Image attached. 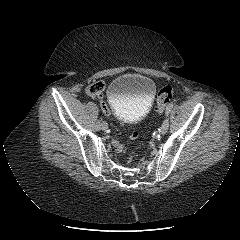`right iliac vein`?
Returning a JSON list of instances; mask_svg holds the SVG:
<instances>
[{
	"instance_id": "right-iliac-vein-1",
	"label": "right iliac vein",
	"mask_w": 240,
	"mask_h": 240,
	"mask_svg": "<svg viewBox=\"0 0 240 240\" xmlns=\"http://www.w3.org/2000/svg\"><path fill=\"white\" fill-rule=\"evenodd\" d=\"M100 127H101V129H102V130H104V131H105V130H107V128H108V125H107V123H105V122H102Z\"/></svg>"
}]
</instances>
